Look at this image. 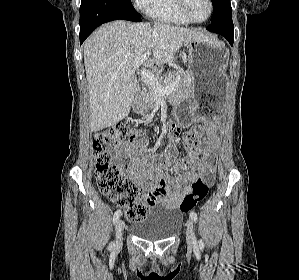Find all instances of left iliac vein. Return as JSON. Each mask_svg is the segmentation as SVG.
Listing matches in <instances>:
<instances>
[{
    "mask_svg": "<svg viewBox=\"0 0 299 280\" xmlns=\"http://www.w3.org/2000/svg\"><path fill=\"white\" fill-rule=\"evenodd\" d=\"M186 239L188 247L192 249L194 244L196 243V238L194 233L193 222L191 219H189L186 223Z\"/></svg>",
    "mask_w": 299,
    "mask_h": 280,
    "instance_id": "4c4485c4",
    "label": "left iliac vein"
}]
</instances>
